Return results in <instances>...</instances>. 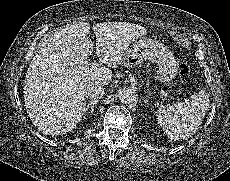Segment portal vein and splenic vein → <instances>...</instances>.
<instances>
[{"mask_svg": "<svg viewBox=\"0 0 230 181\" xmlns=\"http://www.w3.org/2000/svg\"><path fill=\"white\" fill-rule=\"evenodd\" d=\"M97 66H98V63H93L91 67H92L93 69H95V68H97Z\"/></svg>", "mask_w": 230, "mask_h": 181, "instance_id": "1", "label": "portal vein and splenic vein"}]
</instances>
